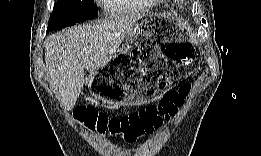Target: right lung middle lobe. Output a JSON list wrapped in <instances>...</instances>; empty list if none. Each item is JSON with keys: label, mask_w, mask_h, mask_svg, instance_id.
<instances>
[{"label": "right lung middle lobe", "mask_w": 261, "mask_h": 156, "mask_svg": "<svg viewBox=\"0 0 261 156\" xmlns=\"http://www.w3.org/2000/svg\"><path fill=\"white\" fill-rule=\"evenodd\" d=\"M98 15L97 6L90 0H57L47 31L61 30Z\"/></svg>", "instance_id": "obj_1"}]
</instances>
